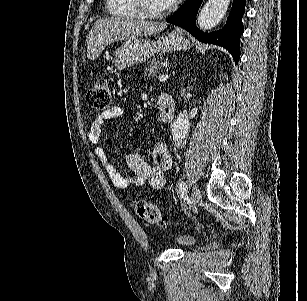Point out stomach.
<instances>
[{
  "label": "stomach",
  "instance_id": "0dacf381",
  "mask_svg": "<svg viewBox=\"0 0 307 301\" xmlns=\"http://www.w3.org/2000/svg\"><path fill=\"white\" fill-rule=\"evenodd\" d=\"M191 40L185 38L180 32H169L167 36L159 40L150 38H128L114 52V64L117 70H124L127 66L145 62L152 58L156 52H171V50H187L190 48Z\"/></svg>",
  "mask_w": 307,
  "mask_h": 301
}]
</instances>
